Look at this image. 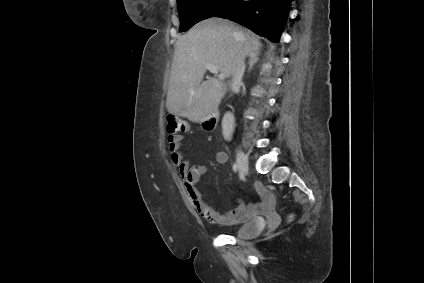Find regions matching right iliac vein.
Segmentation results:
<instances>
[{
	"label": "right iliac vein",
	"instance_id": "obj_1",
	"mask_svg": "<svg viewBox=\"0 0 424 283\" xmlns=\"http://www.w3.org/2000/svg\"><path fill=\"white\" fill-rule=\"evenodd\" d=\"M237 165L242 174H245L248 171V158L241 150H238L237 152Z\"/></svg>",
	"mask_w": 424,
	"mask_h": 283
}]
</instances>
